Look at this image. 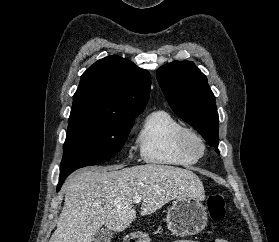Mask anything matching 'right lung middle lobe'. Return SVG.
Segmentation results:
<instances>
[{"label": "right lung middle lobe", "mask_w": 279, "mask_h": 242, "mask_svg": "<svg viewBox=\"0 0 279 242\" xmlns=\"http://www.w3.org/2000/svg\"><path fill=\"white\" fill-rule=\"evenodd\" d=\"M134 120L70 115L59 180L78 168L113 157L123 147Z\"/></svg>", "instance_id": "1"}]
</instances>
